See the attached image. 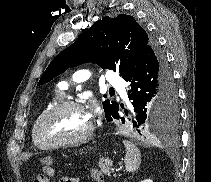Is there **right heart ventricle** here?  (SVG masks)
<instances>
[{"mask_svg":"<svg viewBox=\"0 0 211 182\" xmlns=\"http://www.w3.org/2000/svg\"><path fill=\"white\" fill-rule=\"evenodd\" d=\"M58 102V99L57 98H53L52 100H50L46 106L41 110V112L37 115V117L35 118L33 124H32V127H31V139H32V142L36 145L35 143V140H34V136H33V130H34V126H35V123L36 121L38 120V118L46 111L48 110L50 107H52L53 105H55L56 103Z\"/></svg>","mask_w":211,"mask_h":182,"instance_id":"1","label":"right heart ventricle"}]
</instances>
